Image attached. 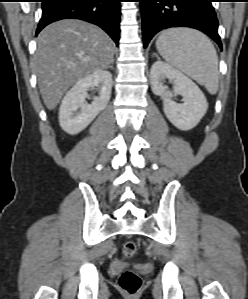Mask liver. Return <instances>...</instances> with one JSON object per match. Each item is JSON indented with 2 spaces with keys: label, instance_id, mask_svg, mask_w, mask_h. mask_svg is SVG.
I'll return each instance as SVG.
<instances>
[{
  "label": "liver",
  "instance_id": "liver-1",
  "mask_svg": "<svg viewBox=\"0 0 248 299\" xmlns=\"http://www.w3.org/2000/svg\"><path fill=\"white\" fill-rule=\"evenodd\" d=\"M114 45L99 27L76 19L48 25L37 39L34 66L44 104L53 110L78 80L112 63Z\"/></svg>",
  "mask_w": 248,
  "mask_h": 299
}]
</instances>
